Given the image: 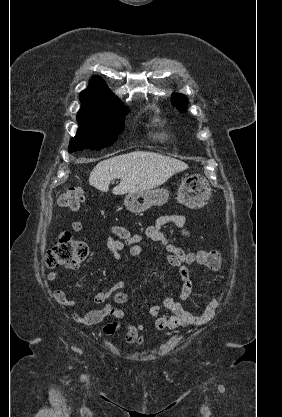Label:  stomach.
<instances>
[{"mask_svg":"<svg viewBox=\"0 0 282 417\" xmlns=\"http://www.w3.org/2000/svg\"><path fill=\"white\" fill-rule=\"evenodd\" d=\"M194 192V194H192ZM178 202H182L188 209H201V206L207 204L210 198L211 186L204 176L200 174H191L184 178L177 192ZM169 198L167 188H154V190H136L129 192L124 198V204L127 211L131 213H144L148 211L152 204H165Z\"/></svg>","mask_w":282,"mask_h":417,"instance_id":"stomach-1","label":"stomach"}]
</instances>
